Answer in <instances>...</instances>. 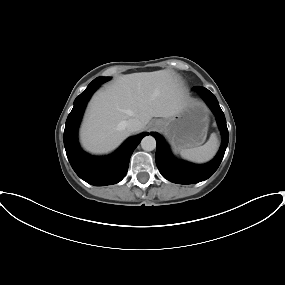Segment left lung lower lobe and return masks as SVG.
<instances>
[{
    "label": "left lung lower lobe",
    "instance_id": "0a47b994",
    "mask_svg": "<svg viewBox=\"0 0 285 285\" xmlns=\"http://www.w3.org/2000/svg\"><path fill=\"white\" fill-rule=\"evenodd\" d=\"M193 89L201 95L214 112L223 140L217 156L211 162L204 165H195L175 159L163 137L158 133H151L157 142L156 165L160 173L167 180L178 184H193L208 179L219 167L228 145L226 119L216 97L204 87L196 86Z\"/></svg>",
    "mask_w": 285,
    "mask_h": 285
}]
</instances>
